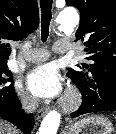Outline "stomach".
<instances>
[{"label": "stomach", "mask_w": 116, "mask_h": 134, "mask_svg": "<svg viewBox=\"0 0 116 134\" xmlns=\"http://www.w3.org/2000/svg\"><path fill=\"white\" fill-rule=\"evenodd\" d=\"M65 134H113V126L107 118L91 115L71 123Z\"/></svg>", "instance_id": "0dacf381"}]
</instances>
